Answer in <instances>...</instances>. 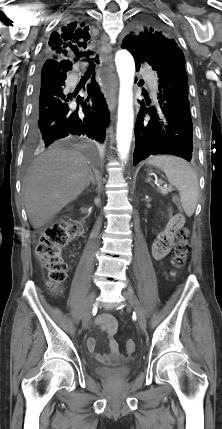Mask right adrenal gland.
I'll return each instance as SVG.
<instances>
[{"label":"right adrenal gland","instance_id":"1","mask_svg":"<svg viewBox=\"0 0 222 429\" xmlns=\"http://www.w3.org/2000/svg\"><path fill=\"white\" fill-rule=\"evenodd\" d=\"M90 183H92V185H94V186L96 185V180L92 174H91L89 182L86 185L87 188L90 186Z\"/></svg>","mask_w":222,"mask_h":429}]
</instances>
